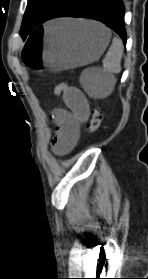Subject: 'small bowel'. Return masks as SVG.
I'll list each match as a JSON object with an SVG mask.
<instances>
[{"instance_id":"small-bowel-1","label":"small bowel","mask_w":148,"mask_h":279,"mask_svg":"<svg viewBox=\"0 0 148 279\" xmlns=\"http://www.w3.org/2000/svg\"><path fill=\"white\" fill-rule=\"evenodd\" d=\"M67 109L53 112L56 134L53 139V151L60 156L68 154L80 137V125L89 117V105L78 89H67L64 93Z\"/></svg>"}]
</instances>
